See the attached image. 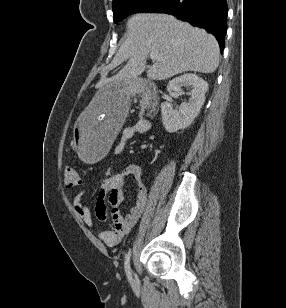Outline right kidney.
<instances>
[{"instance_id": "1", "label": "right kidney", "mask_w": 286, "mask_h": 308, "mask_svg": "<svg viewBox=\"0 0 286 308\" xmlns=\"http://www.w3.org/2000/svg\"><path fill=\"white\" fill-rule=\"evenodd\" d=\"M182 86L192 88L188 102H183L178 110H173L171 104L167 101L161 103L162 123L169 133L186 129L193 123L200 112L205 101V94L208 91V83L196 74L190 73L172 79L167 89L181 94Z\"/></svg>"}]
</instances>
